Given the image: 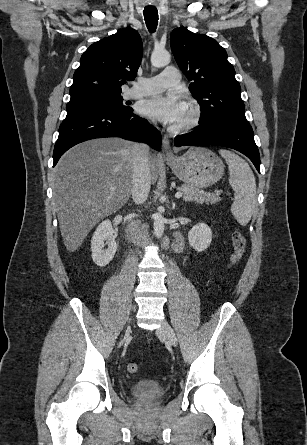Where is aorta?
<instances>
[{
    "label": "aorta",
    "instance_id": "1",
    "mask_svg": "<svg viewBox=\"0 0 307 445\" xmlns=\"http://www.w3.org/2000/svg\"><path fill=\"white\" fill-rule=\"evenodd\" d=\"M150 60L152 66H166L171 60V54L166 48H154ZM165 220L166 218H164L162 212H155L153 229L157 239H161L164 235Z\"/></svg>",
    "mask_w": 307,
    "mask_h": 445
}]
</instances>
